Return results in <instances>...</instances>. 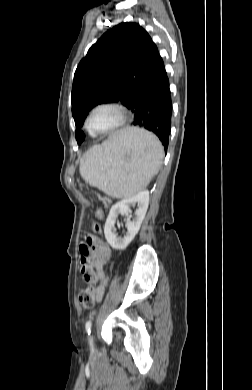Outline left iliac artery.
Wrapping results in <instances>:
<instances>
[{"label": "left iliac artery", "instance_id": "44dca946", "mask_svg": "<svg viewBox=\"0 0 252 390\" xmlns=\"http://www.w3.org/2000/svg\"><path fill=\"white\" fill-rule=\"evenodd\" d=\"M91 326H92L91 321H87L86 324H85V329H86V332H87L88 336H89L90 333H91ZM90 345H91L92 348H93V345H92L91 340H90Z\"/></svg>", "mask_w": 252, "mask_h": 390}]
</instances>
